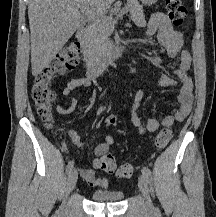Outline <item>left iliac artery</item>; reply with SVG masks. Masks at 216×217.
<instances>
[{"instance_id": "1", "label": "left iliac artery", "mask_w": 216, "mask_h": 217, "mask_svg": "<svg viewBox=\"0 0 216 217\" xmlns=\"http://www.w3.org/2000/svg\"><path fill=\"white\" fill-rule=\"evenodd\" d=\"M142 173H143V175H145L147 181H148L149 183H151V181H152V176H151V171H150V169H149L148 167H146V166H143V168H142Z\"/></svg>"}]
</instances>
